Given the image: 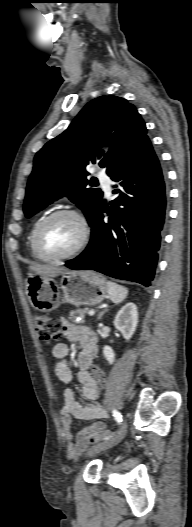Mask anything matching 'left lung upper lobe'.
<instances>
[{
	"label": "left lung upper lobe",
	"instance_id": "5c2ea615",
	"mask_svg": "<svg viewBox=\"0 0 192 527\" xmlns=\"http://www.w3.org/2000/svg\"><path fill=\"white\" fill-rule=\"evenodd\" d=\"M146 133L143 119L126 99L101 96L90 101L62 134L36 154L24 201L26 217L65 195L83 210L91 226L103 193L86 188L85 167L98 164L114 176L149 139ZM99 146L110 150L104 154Z\"/></svg>",
	"mask_w": 192,
	"mask_h": 527
}]
</instances>
